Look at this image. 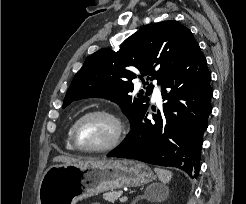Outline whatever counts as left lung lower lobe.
I'll use <instances>...</instances> for the list:
<instances>
[{
    "mask_svg": "<svg viewBox=\"0 0 246 204\" xmlns=\"http://www.w3.org/2000/svg\"><path fill=\"white\" fill-rule=\"evenodd\" d=\"M211 74L198 43L161 84L163 111L147 119V109L108 157L172 166L197 177L208 116L212 111ZM168 88V90H166Z\"/></svg>",
    "mask_w": 246,
    "mask_h": 204,
    "instance_id": "0a47b994",
    "label": "left lung lower lobe"
}]
</instances>
